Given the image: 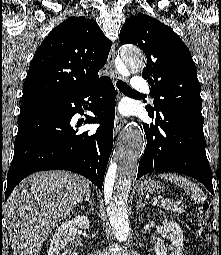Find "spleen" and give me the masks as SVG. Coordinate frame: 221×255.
<instances>
[{
	"mask_svg": "<svg viewBox=\"0 0 221 255\" xmlns=\"http://www.w3.org/2000/svg\"><path fill=\"white\" fill-rule=\"evenodd\" d=\"M159 176L161 178L169 180L170 182L175 183L178 186H181L184 189L185 193L188 194L195 203H203L205 201L203 191L196 184L189 181L188 179L170 173L161 174Z\"/></svg>",
	"mask_w": 221,
	"mask_h": 255,
	"instance_id": "obj_1",
	"label": "spleen"
}]
</instances>
